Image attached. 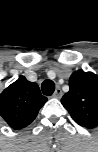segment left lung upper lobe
<instances>
[{
  "label": "left lung upper lobe",
  "instance_id": "obj_1",
  "mask_svg": "<svg viewBox=\"0 0 98 152\" xmlns=\"http://www.w3.org/2000/svg\"><path fill=\"white\" fill-rule=\"evenodd\" d=\"M69 87L61 103L72 119L88 129L98 127V75L75 71L70 76Z\"/></svg>",
  "mask_w": 98,
  "mask_h": 152
}]
</instances>
